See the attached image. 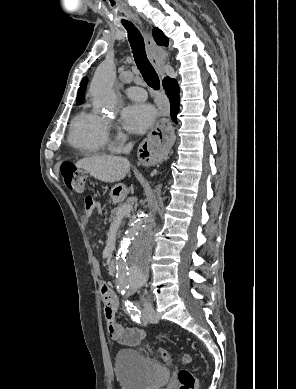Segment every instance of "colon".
<instances>
[{
    "label": "colon",
    "mask_w": 296,
    "mask_h": 389,
    "mask_svg": "<svg viewBox=\"0 0 296 389\" xmlns=\"http://www.w3.org/2000/svg\"><path fill=\"white\" fill-rule=\"evenodd\" d=\"M61 174L68 189L77 193H82L85 190L86 174L74 163H63L61 166ZM159 357L164 361H168L170 359V355L165 349L159 350ZM181 359L184 364H190L193 361V357L188 353H184ZM177 379L179 389H196L197 387V379L193 372L189 369H180Z\"/></svg>",
    "instance_id": "obj_1"
}]
</instances>
